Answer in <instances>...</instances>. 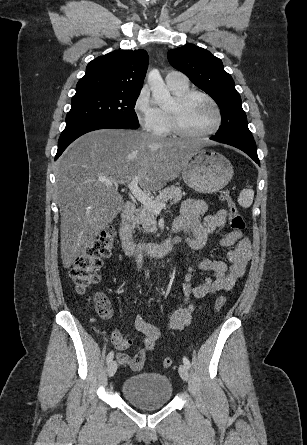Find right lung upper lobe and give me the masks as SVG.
<instances>
[{"mask_svg": "<svg viewBox=\"0 0 307 445\" xmlns=\"http://www.w3.org/2000/svg\"><path fill=\"white\" fill-rule=\"evenodd\" d=\"M148 54L145 50H115L89 62L86 74L76 86L77 95L140 94L146 70Z\"/></svg>", "mask_w": 307, "mask_h": 445, "instance_id": "obj_1", "label": "right lung upper lobe"}]
</instances>
